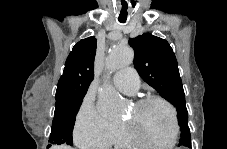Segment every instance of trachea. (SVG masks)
<instances>
[{
	"label": "trachea",
	"instance_id": "trachea-1",
	"mask_svg": "<svg viewBox=\"0 0 227 149\" xmlns=\"http://www.w3.org/2000/svg\"><path fill=\"white\" fill-rule=\"evenodd\" d=\"M121 23H125L126 21L125 20H119Z\"/></svg>",
	"mask_w": 227,
	"mask_h": 149
}]
</instances>
